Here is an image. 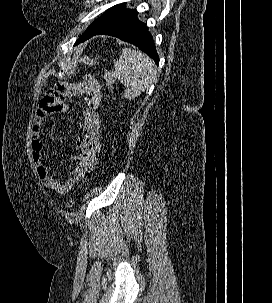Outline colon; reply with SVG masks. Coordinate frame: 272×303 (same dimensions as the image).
Wrapping results in <instances>:
<instances>
[{
    "label": "colon",
    "instance_id": "1",
    "mask_svg": "<svg viewBox=\"0 0 272 303\" xmlns=\"http://www.w3.org/2000/svg\"><path fill=\"white\" fill-rule=\"evenodd\" d=\"M95 61H96L95 57L90 56V55L82 57V62L85 63V64H88V65H93L95 63ZM104 79H105V82L108 86V91L110 92L111 89H112L113 83H114V78H113L112 72L111 71H106L105 74H104ZM73 205H74L73 199L69 198L67 200L66 206L68 208H72Z\"/></svg>",
    "mask_w": 272,
    "mask_h": 303
}]
</instances>
